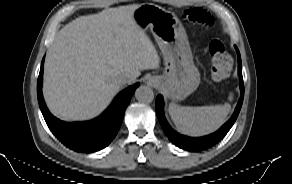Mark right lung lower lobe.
Here are the masks:
<instances>
[{
    "label": "right lung lower lobe",
    "instance_id": "right-lung-lower-lobe-1",
    "mask_svg": "<svg viewBox=\"0 0 292 184\" xmlns=\"http://www.w3.org/2000/svg\"><path fill=\"white\" fill-rule=\"evenodd\" d=\"M43 62L37 82L38 102L53 134L68 148L79 152H95L105 148L116 136L138 83L123 90L100 117L82 123H65L47 109L42 96Z\"/></svg>",
    "mask_w": 292,
    "mask_h": 184
}]
</instances>
